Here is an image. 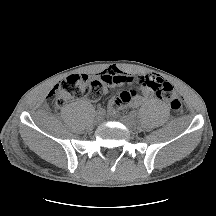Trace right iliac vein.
Returning <instances> with one entry per match:
<instances>
[{
    "label": "right iliac vein",
    "instance_id": "right-iliac-vein-1",
    "mask_svg": "<svg viewBox=\"0 0 216 216\" xmlns=\"http://www.w3.org/2000/svg\"><path fill=\"white\" fill-rule=\"evenodd\" d=\"M102 119H103L102 116L97 114V115L95 116L94 122H95L96 124H99V123H101Z\"/></svg>",
    "mask_w": 216,
    "mask_h": 216
}]
</instances>
